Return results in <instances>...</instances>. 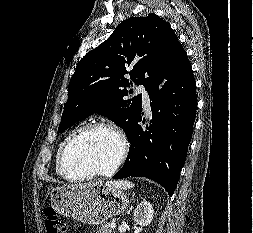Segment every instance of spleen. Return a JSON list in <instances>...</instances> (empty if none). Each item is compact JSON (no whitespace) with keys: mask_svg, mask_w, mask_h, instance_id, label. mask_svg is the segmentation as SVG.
I'll return each instance as SVG.
<instances>
[{"mask_svg":"<svg viewBox=\"0 0 253 233\" xmlns=\"http://www.w3.org/2000/svg\"><path fill=\"white\" fill-rule=\"evenodd\" d=\"M113 186L117 187V188H121V189H130L134 186V184L130 181H118V182H112L111 183Z\"/></svg>","mask_w":253,"mask_h":233,"instance_id":"obj_1","label":"spleen"}]
</instances>
